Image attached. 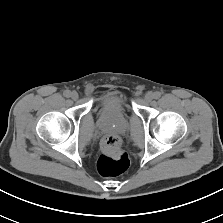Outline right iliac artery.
<instances>
[{
    "label": "right iliac artery",
    "mask_w": 223,
    "mask_h": 223,
    "mask_svg": "<svg viewBox=\"0 0 223 223\" xmlns=\"http://www.w3.org/2000/svg\"><path fill=\"white\" fill-rule=\"evenodd\" d=\"M64 96L65 97H70L71 96V92L69 90L64 91Z\"/></svg>",
    "instance_id": "82829eb1"
}]
</instances>
